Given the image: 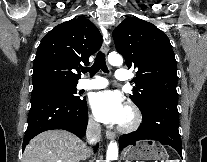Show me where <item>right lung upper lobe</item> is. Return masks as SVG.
I'll return each instance as SVG.
<instances>
[{"label": "right lung upper lobe", "instance_id": "1", "mask_svg": "<svg viewBox=\"0 0 207 162\" xmlns=\"http://www.w3.org/2000/svg\"><path fill=\"white\" fill-rule=\"evenodd\" d=\"M102 45L97 27L86 18L72 19L47 33L38 47L33 65V88L50 84H77L81 63Z\"/></svg>", "mask_w": 207, "mask_h": 162}]
</instances>
